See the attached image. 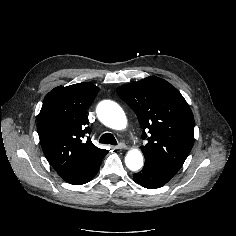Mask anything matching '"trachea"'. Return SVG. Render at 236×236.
<instances>
[{
    "label": "trachea",
    "instance_id": "obj_1",
    "mask_svg": "<svg viewBox=\"0 0 236 236\" xmlns=\"http://www.w3.org/2000/svg\"><path fill=\"white\" fill-rule=\"evenodd\" d=\"M99 143L117 145V141L111 133L103 134L99 139Z\"/></svg>",
    "mask_w": 236,
    "mask_h": 236
}]
</instances>
